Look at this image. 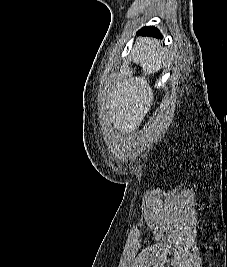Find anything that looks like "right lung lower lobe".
Returning <instances> with one entry per match:
<instances>
[{"label":"right lung lower lobe","instance_id":"98d812e1","mask_svg":"<svg viewBox=\"0 0 227 267\" xmlns=\"http://www.w3.org/2000/svg\"><path fill=\"white\" fill-rule=\"evenodd\" d=\"M138 34L146 35V36H155V37L162 38L159 30L157 28H154L153 26H148V27L142 28L138 32Z\"/></svg>","mask_w":227,"mask_h":267}]
</instances>
